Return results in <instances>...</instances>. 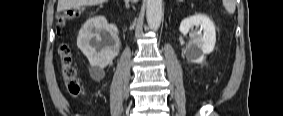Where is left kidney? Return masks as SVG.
Returning <instances> with one entry per match:
<instances>
[{"mask_svg":"<svg viewBox=\"0 0 283 116\" xmlns=\"http://www.w3.org/2000/svg\"><path fill=\"white\" fill-rule=\"evenodd\" d=\"M194 26H200L203 29V35L193 37L186 47L185 55L193 63H202L205 55L211 53L215 47V25L208 16L199 14L182 20L179 30L187 35L190 28Z\"/></svg>","mask_w":283,"mask_h":116,"instance_id":"5707ae66","label":"left kidney"}]
</instances>
